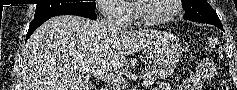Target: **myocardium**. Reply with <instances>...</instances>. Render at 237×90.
Segmentation results:
<instances>
[{
	"label": "myocardium",
	"instance_id": "myocardium-1",
	"mask_svg": "<svg viewBox=\"0 0 237 90\" xmlns=\"http://www.w3.org/2000/svg\"><path fill=\"white\" fill-rule=\"evenodd\" d=\"M138 1H149V0H138ZM170 3V9L165 15L156 19H146L139 15L136 7V1L130 2V9L133 18V28H154L160 24L171 21L178 15L180 11V5L178 3H184V0H167Z\"/></svg>",
	"mask_w": 237,
	"mask_h": 90
}]
</instances>
